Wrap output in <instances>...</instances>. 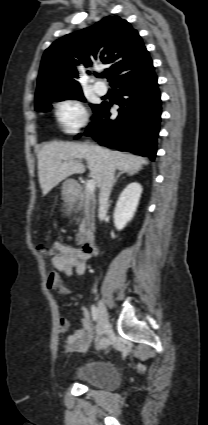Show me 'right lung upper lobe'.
I'll use <instances>...</instances> for the list:
<instances>
[{"label":"right lung upper lobe","instance_id":"cb5924a9","mask_svg":"<svg viewBox=\"0 0 208 425\" xmlns=\"http://www.w3.org/2000/svg\"><path fill=\"white\" fill-rule=\"evenodd\" d=\"M148 56L141 37L126 20L107 16L91 27L56 40L42 57L35 103L50 93L81 90L76 64L93 67L107 64L105 75L111 82L126 68ZM90 74V72H87Z\"/></svg>","mask_w":208,"mask_h":425}]
</instances>
